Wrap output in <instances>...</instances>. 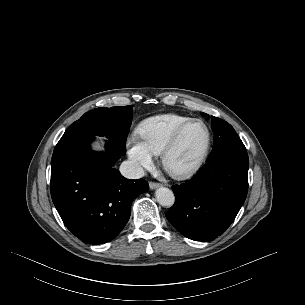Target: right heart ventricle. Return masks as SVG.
Listing matches in <instances>:
<instances>
[{"label":"right heart ventricle","instance_id":"obj_1","mask_svg":"<svg viewBox=\"0 0 305 305\" xmlns=\"http://www.w3.org/2000/svg\"><path fill=\"white\" fill-rule=\"evenodd\" d=\"M193 118L165 114L149 118L138 127L137 135L152 155H161L177 131Z\"/></svg>","mask_w":305,"mask_h":305}]
</instances>
